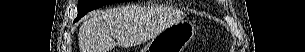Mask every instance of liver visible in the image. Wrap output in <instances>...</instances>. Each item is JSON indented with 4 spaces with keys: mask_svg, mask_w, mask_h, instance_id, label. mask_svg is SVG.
Returning a JSON list of instances; mask_svg holds the SVG:
<instances>
[{
    "mask_svg": "<svg viewBox=\"0 0 305 52\" xmlns=\"http://www.w3.org/2000/svg\"><path fill=\"white\" fill-rule=\"evenodd\" d=\"M182 17L183 13L176 12L175 16L167 19L164 27L152 30L147 25L146 11L140 7L94 12L79 28L80 52H110L117 44L129 45L152 39Z\"/></svg>",
    "mask_w": 305,
    "mask_h": 52,
    "instance_id": "6515ba94",
    "label": "liver"
}]
</instances>
